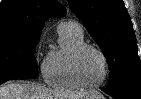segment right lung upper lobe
Returning <instances> with one entry per match:
<instances>
[{
  "instance_id": "cb5924a9",
  "label": "right lung upper lobe",
  "mask_w": 141,
  "mask_h": 99,
  "mask_svg": "<svg viewBox=\"0 0 141 99\" xmlns=\"http://www.w3.org/2000/svg\"><path fill=\"white\" fill-rule=\"evenodd\" d=\"M66 9L54 0H2L0 32L41 34L49 16H63Z\"/></svg>"
}]
</instances>
